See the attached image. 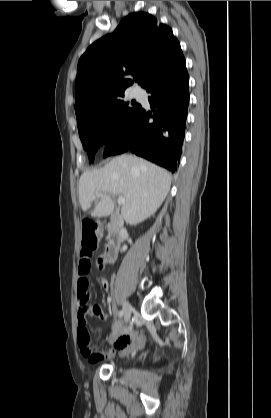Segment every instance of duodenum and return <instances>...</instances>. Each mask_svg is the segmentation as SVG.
<instances>
[{
  "label": "duodenum",
  "mask_w": 271,
  "mask_h": 418,
  "mask_svg": "<svg viewBox=\"0 0 271 418\" xmlns=\"http://www.w3.org/2000/svg\"><path fill=\"white\" fill-rule=\"evenodd\" d=\"M124 228L118 220H114L108 229V242L103 255V262L111 263L115 260L123 238Z\"/></svg>",
  "instance_id": "duodenum-1"
}]
</instances>
